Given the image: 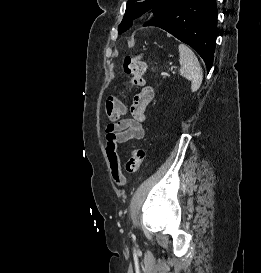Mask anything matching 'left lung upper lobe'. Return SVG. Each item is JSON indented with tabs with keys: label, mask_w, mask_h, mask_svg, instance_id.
<instances>
[{
	"label": "left lung upper lobe",
	"mask_w": 261,
	"mask_h": 273,
	"mask_svg": "<svg viewBox=\"0 0 261 273\" xmlns=\"http://www.w3.org/2000/svg\"><path fill=\"white\" fill-rule=\"evenodd\" d=\"M172 1L173 0H128L125 15L118 27L119 34L129 29L132 25V21L149 9L153 8V12L157 14L164 10Z\"/></svg>",
	"instance_id": "5c2ea615"
}]
</instances>
